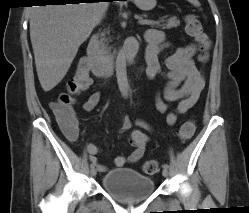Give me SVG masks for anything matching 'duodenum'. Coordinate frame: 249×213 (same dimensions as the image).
I'll use <instances>...</instances> for the list:
<instances>
[{"label":"duodenum","mask_w":249,"mask_h":213,"mask_svg":"<svg viewBox=\"0 0 249 213\" xmlns=\"http://www.w3.org/2000/svg\"><path fill=\"white\" fill-rule=\"evenodd\" d=\"M138 50L136 39H130L124 47V57L129 63L133 62ZM85 62L92 72L101 78L109 77L114 71V65L111 61L105 59L99 50V37L92 35L87 47Z\"/></svg>","instance_id":"obj_1"}]
</instances>
